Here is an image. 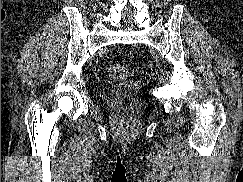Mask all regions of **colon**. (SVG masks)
Instances as JSON below:
<instances>
[{"label": "colon", "instance_id": "5ec220e1", "mask_svg": "<svg viewBox=\"0 0 243 182\" xmlns=\"http://www.w3.org/2000/svg\"><path fill=\"white\" fill-rule=\"evenodd\" d=\"M110 77L116 80H126L133 75V71L120 65H114L108 68Z\"/></svg>", "mask_w": 243, "mask_h": 182}]
</instances>
